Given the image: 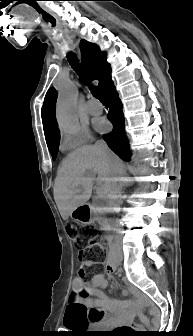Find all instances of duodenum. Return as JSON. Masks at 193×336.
Listing matches in <instances>:
<instances>
[{"instance_id":"duodenum-1","label":"duodenum","mask_w":193,"mask_h":336,"mask_svg":"<svg viewBox=\"0 0 193 336\" xmlns=\"http://www.w3.org/2000/svg\"><path fill=\"white\" fill-rule=\"evenodd\" d=\"M108 264H109L112 268H115V266H116L115 255H114V249H113L112 246H110V249H109V254H108Z\"/></svg>"}]
</instances>
